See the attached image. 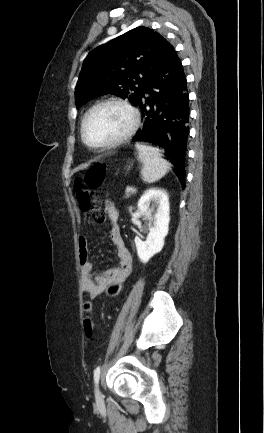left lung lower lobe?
I'll return each mask as SVG.
<instances>
[{"label":"left lung lower lobe","instance_id":"left-lung-lower-lobe-1","mask_svg":"<svg viewBox=\"0 0 264 433\" xmlns=\"http://www.w3.org/2000/svg\"><path fill=\"white\" fill-rule=\"evenodd\" d=\"M189 95L183 66L175 50L144 89L137 105L143 124L134 141L153 143L166 152L185 186V156L189 133Z\"/></svg>","mask_w":264,"mask_h":433}]
</instances>
